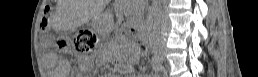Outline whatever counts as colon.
<instances>
[{
    "label": "colon",
    "mask_w": 258,
    "mask_h": 77,
    "mask_svg": "<svg viewBox=\"0 0 258 77\" xmlns=\"http://www.w3.org/2000/svg\"><path fill=\"white\" fill-rule=\"evenodd\" d=\"M51 21V10L46 8L41 21L42 30H47L50 27ZM97 42L95 33L90 30L82 29L79 30L73 37L71 42H64V47L73 48L78 51H86L92 48Z\"/></svg>",
    "instance_id": "colon-1"
}]
</instances>
